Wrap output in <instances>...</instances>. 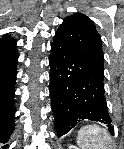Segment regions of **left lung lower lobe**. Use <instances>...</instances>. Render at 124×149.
<instances>
[{
	"mask_svg": "<svg viewBox=\"0 0 124 149\" xmlns=\"http://www.w3.org/2000/svg\"><path fill=\"white\" fill-rule=\"evenodd\" d=\"M50 95L57 136L82 120L105 124L114 134L104 95V71L90 63L58 33L51 45Z\"/></svg>",
	"mask_w": 124,
	"mask_h": 149,
	"instance_id": "obj_1",
	"label": "left lung lower lobe"
}]
</instances>
